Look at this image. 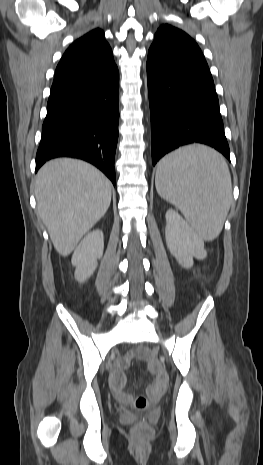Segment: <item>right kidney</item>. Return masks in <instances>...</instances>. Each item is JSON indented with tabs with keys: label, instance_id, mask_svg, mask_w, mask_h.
<instances>
[{
	"label": "right kidney",
	"instance_id": "obj_1",
	"mask_svg": "<svg viewBox=\"0 0 263 465\" xmlns=\"http://www.w3.org/2000/svg\"><path fill=\"white\" fill-rule=\"evenodd\" d=\"M104 240L101 230L88 233L75 249L71 262L75 266V279L83 283L94 273L97 260L103 255Z\"/></svg>",
	"mask_w": 263,
	"mask_h": 465
}]
</instances>
